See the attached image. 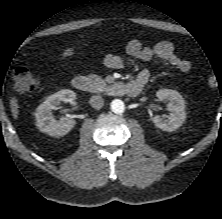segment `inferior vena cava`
<instances>
[{
	"label": "inferior vena cava",
	"mask_w": 222,
	"mask_h": 219,
	"mask_svg": "<svg viewBox=\"0 0 222 219\" xmlns=\"http://www.w3.org/2000/svg\"><path fill=\"white\" fill-rule=\"evenodd\" d=\"M89 103L92 108L94 109H100L104 105V100L99 95H94L90 98Z\"/></svg>",
	"instance_id": "obj_1"
}]
</instances>
